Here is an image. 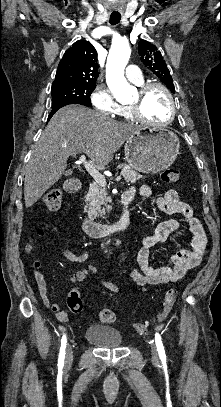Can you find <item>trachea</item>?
Here are the masks:
<instances>
[{"label":"trachea","instance_id":"trachea-1","mask_svg":"<svg viewBox=\"0 0 221 407\" xmlns=\"http://www.w3.org/2000/svg\"><path fill=\"white\" fill-rule=\"evenodd\" d=\"M121 19V14L120 13H112L110 15V24L111 25H116L120 22Z\"/></svg>","mask_w":221,"mask_h":407}]
</instances>
